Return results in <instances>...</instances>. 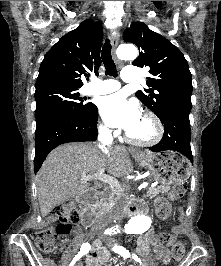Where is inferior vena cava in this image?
<instances>
[{
	"mask_svg": "<svg viewBox=\"0 0 221 266\" xmlns=\"http://www.w3.org/2000/svg\"><path fill=\"white\" fill-rule=\"evenodd\" d=\"M98 140H99V148L100 150L106 154V155H110L112 147V141H113V137L111 134V131L107 128H103L100 129L99 131V136H98ZM109 214H112V212H109L108 215H106L105 217H101L98 221H97V226L98 227H106V225L108 224L109 220Z\"/></svg>",
	"mask_w": 221,
	"mask_h": 266,
	"instance_id": "obj_1",
	"label": "inferior vena cava"
}]
</instances>
